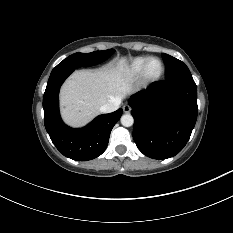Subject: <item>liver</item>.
Here are the masks:
<instances>
[{
	"instance_id": "liver-1",
	"label": "liver",
	"mask_w": 233,
	"mask_h": 233,
	"mask_svg": "<svg viewBox=\"0 0 233 233\" xmlns=\"http://www.w3.org/2000/svg\"><path fill=\"white\" fill-rule=\"evenodd\" d=\"M132 90V77L124 58L100 69L76 71L61 88L63 120L72 127L84 126L99 114L102 105L121 100Z\"/></svg>"
}]
</instances>
